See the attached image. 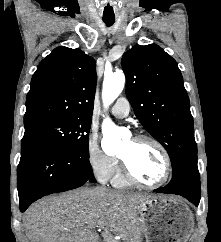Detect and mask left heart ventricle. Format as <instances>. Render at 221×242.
Segmentation results:
<instances>
[{
	"mask_svg": "<svg viewBox=\"0 0 221 242\" xmlns=\"http://www.w3.org/2000/svg\"><path fill=\"white\" fill-rule=\"evenodd\" d=\"M119 156L129 164L133 173L146 183H155L164 174V159L151 142L129 139L122 145Z\"/></svg>",
	"mask_w": 221,
	"mask_h": 242,
	"instance_id": "obj_1",
	"label": "left heart ventricle"
}]
</instances>
